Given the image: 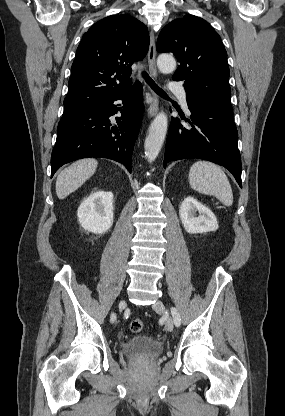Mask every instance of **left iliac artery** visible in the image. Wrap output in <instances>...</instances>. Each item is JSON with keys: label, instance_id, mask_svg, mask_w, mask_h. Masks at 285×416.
<instances>
[{"label": "left iliac artery", "instance_id": "left-iliac-artery-1", "mask_svg": "<svg viewBox=\"0 0 285 416\" xmlns=\"http://www.w3.org/2000/svg\"><path fill=\"white\" fill-rule=\"evenodd\" d=\"M171 314L174 320V324L178 327L181 324V318L180 315L178 313V310L175 307L171 308Z\"/></svg>", "mask_w": 285, "mask_h": 416}]
</instances>
